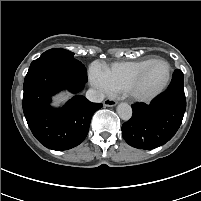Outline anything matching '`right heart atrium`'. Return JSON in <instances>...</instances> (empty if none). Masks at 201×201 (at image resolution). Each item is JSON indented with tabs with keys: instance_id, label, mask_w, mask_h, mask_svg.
<instances>
[{
	"instance_id": "1",
	"label": "right heart atrium",
	"mask_w": 201,
	"mask_h": 201,
	"mask_svg": "<svg viewBox=\"0 0 201 201\" xmlns=\"http://www.w3.org/2000/svg\"><path fill=\"white\" fill-rule=\"evenodd\" d=\"M89 79L92 86L99 92V94L108 95L114 92L104 69L100 65L93 64L90 67Z\"/></svg>"
}]
</instances>
